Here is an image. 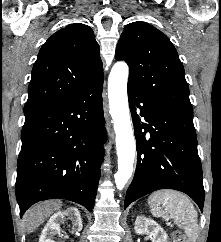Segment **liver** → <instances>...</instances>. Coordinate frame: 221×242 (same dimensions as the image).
<instances>
[{"mask_svg":"<svg viewBox=\"0 0 221 242\" xmlns=\"http://www.w3.org/2000/svg\"><path fill=\"white\" fill-rule=\"evenodd\" d=\"M62 202L59 200L45 201L31 207L23 216L25 228L28 233H32L42 223H44L50 215L60 210Z\"/></svg>","mask_w":221,"mask_h":242,"instance_id":"6515ba94","label":"liver"}]
</instances>
